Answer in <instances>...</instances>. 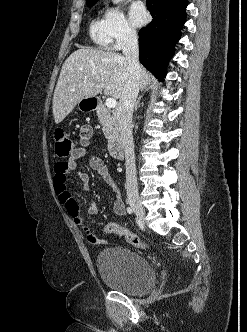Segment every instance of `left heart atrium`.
<instances>
[{"mask_svg":"<svg viewBox=\"0 0 247 332\" xmlns=\"http://www.w3.org/2000/svg\"><path fill=\"white\" fill-rule=\"evenodd\" d=\"M129 15L132 23L136 26L143 25L148 18L145 7L139 2L132 4L130 7Z\"/></svg>","mask_w":247,"mask_h":332,"instance_id":"39dd6f15","label":"left heart atrium"}]
</instances>
